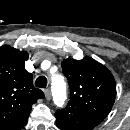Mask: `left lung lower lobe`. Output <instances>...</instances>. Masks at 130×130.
<instances>
[{"label": "left lung lower lobe", "instance_id": "obj_1", "mask_svg": "<svg viewBox=\"0 0 130 130\" xmlns=\"http://www.w3.org/2000/svg\"><path fill=\"white\" fill-rule=\"evenodd\" d=\"M56 125L61 130H92L102 120L69 107L57 110L55 113Z\"/></svg>", "mask_w": 130, "mask_h": 130}]
</instances>
